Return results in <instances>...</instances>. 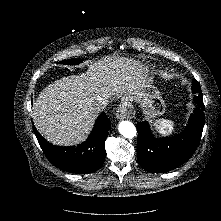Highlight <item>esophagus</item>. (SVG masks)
<instances>
[{"label": "esophagus", "mask_w": 221, "mask_h": 221, "mask_svg": "<svg viewBox=\"0 0 221 221\" xmlns=\"http://www.w3.org/2000/svg\"><path fill=\"white\" fill-rule=\"evenodd\" d=\"M135 115V110L127 99H122L116 110V117L120 120L131 119Z\"/></svg>", "instance_id": "obj_1"}]
</instances>
